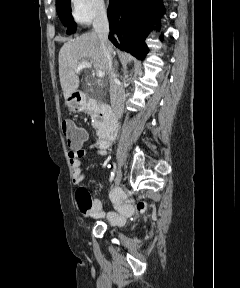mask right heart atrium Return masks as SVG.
I'll return each mask as SVG.
<instances>
[{"label":"right heart atrium","instance_id":"right-heart-atrium-1","mask_svg":"<svg viewBox=\"0 0 240 288\" xmlns=\"http://www.w3.org/2000/svg\"><path fill=\"white\" fill-rule=\"evenodd\" d=\"M74 18L81 24H87L101 18L106 13L105 0H71Z\"/></svg>","mask_w":240,"mask_h":288}]
</instances>
